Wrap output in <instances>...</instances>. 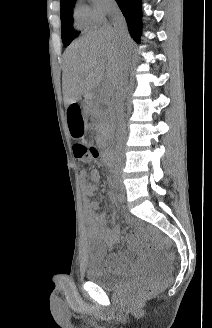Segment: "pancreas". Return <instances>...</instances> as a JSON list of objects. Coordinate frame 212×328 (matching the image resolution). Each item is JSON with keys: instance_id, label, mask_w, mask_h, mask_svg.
I'll use <instances>...</instances> for the list:
<instances>
[{"instance_id": "obj_1", "label": "pancreas", "mask_w": 212, "mask_h": 328, "mask_svg": "<svg viewBox=\"0 0 212 328\" xmlns=\"http://www.w3.org/2000/svg\"><path fill=\"white\" fill-rule=\"evenodd\" d=\"M102 98H97L92 110L93 116L97 120L98 139L106 138L111 132L110 117L104 111L98 108L99 103L103 102Z\"/></svg>"}]
</instances>
